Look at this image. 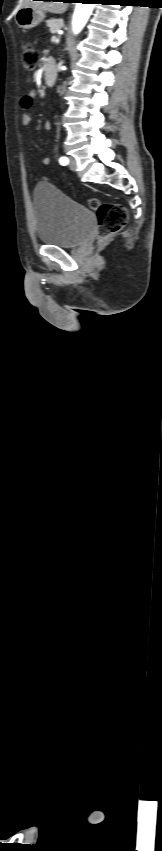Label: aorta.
I'll return each instance as SVG.
<instances>
[{
  "instance_id": "1",
  "label": "aorta",
  "mask_w": 162,
  "mask_h": 851,
  "mask_svg": "<svg viewBox=\"0 0 162 851\" xmlns=\"http://www.w3.org/2000/svg\"><path fill=\"white\" fill-rule=\"evenodd\" d=\"M94 8V4L91 3H77L76 8L73 14L72 20V30L74 34H78L86 25L92 11Z\"/></svg>"
}]
</instances>
